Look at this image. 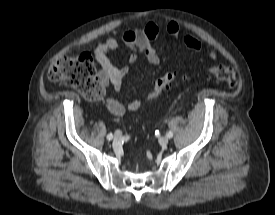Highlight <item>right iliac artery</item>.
I'll return each instance as SVG.
<instances>
[{
  "label": "right iliac artery",
  "instance_id": "right-iliac-artery-1",
  "mask_svg": "<svg viewBox=\"0 0 275 215\" xmlns=\"http://www.w3.org/2000/svg\"><path fill=\"white\" fill-rule=\"evenodd\" d=\"M112 138H113L112 133H109V134L107 135V139H108V140H111Z\"/></svg>",
  "mask_w": 275,
  "mask_h": 215
}]
</instances>
